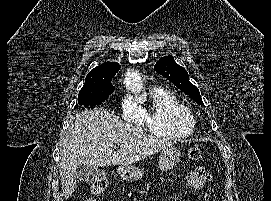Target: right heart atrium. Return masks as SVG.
Masks as SVG:
<instances>
[{
  "label": "right heart atrium",
  "instance_id": "d8ad5b80",
  "mask_svg": "<svg viewBox=\"0 0 271 201\" xmlns=\"http://www.w3.org/2000/svg\"><path fill=\"white\" fill-rule=\"evenodd\" d=\"M121 107L123 110V115L128 121L135 124H141L144 122V113L134 98H124L122 100Z\"/></svg>",
  "mask_w": 271,
  "mask_h": 201
}]
</instances>
